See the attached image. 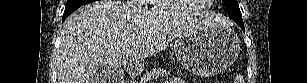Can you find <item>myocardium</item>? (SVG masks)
Instances as JSON below:
<instances>
[{
	"instance_id": "myocardium-1",
	"label": "myocardium",
	"mask_w": 307,
	"mask_h": 83,
	"mask_svg": "<svg viewBox=\"0 0 307 83\" xmlns=\"http://www.w3.org/2000/svg\"><path fill=\"white\" fill-rule=\"evenodd\" d=\"M169 4L172 5L179 13H183V14H194V13H198L201 12L203 10H205L206 6L205 5H198L190 10H183L179 7L178 5V1L177 0H170Z\"/></svg>"
}]
</instances>
